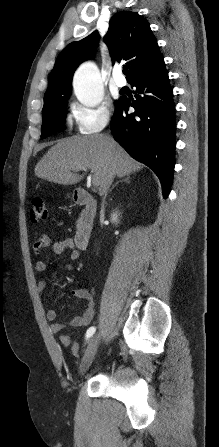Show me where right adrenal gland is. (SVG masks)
<instances>
[{
  "instance_id": "2a0ac1e0",
  "label": "right adrenal gland",
  "mask_w": 219,
  "mask_h": 447,
  "mask_svg": "<svg viewBox=\"0 0 219 447\" xmlns=\"http://www.w3.org/2000/svg\"><path fill=\"white\" fill-rule=\"evenodd\" d=\"M119 182H126V183H130V176L127 175L126 177L122 178L121 180L117 181L112 188L110 189V191L119 183Z\"/></svg>"
}]
</instances>
